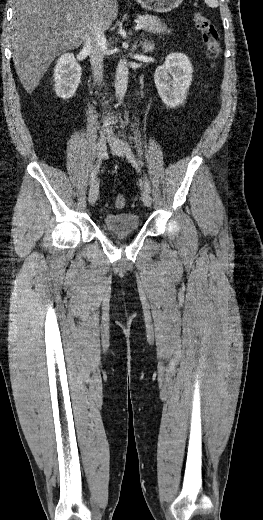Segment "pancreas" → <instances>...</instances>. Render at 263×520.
Returning <instances> with one entry per match:
<instances>
[{"mask_svg": "<svg viewBox=\"0 0 263 520\" xmlns=\"http://www.w3.org/2000/svg\"><path fill=\"white\" fill-rule=\"evenodd\" d=\"M138 20L142 23V29L145 31L161 33L166 29V25L157 16L139 15Z\"/></svg>", "mask_w": 263, "mask_h": 520, "instance_id": "1", "label": "pancreas"}]
</instances>
